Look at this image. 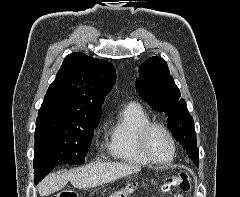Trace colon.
<instances>
[{
    "mask_svg": "<svg viewBox=\"0 0 240 197\" xmlns=\"http://www.w3.org/2000/svg\"><path fill=\"white\" fill-rule=\"evenodd\" d=\"M160 187L165 192H170L173 190L189 191L191 183L189 180V175L187 173H181L179 176H170L165 178ZM138 188L136 183H129L125 187L117 190L116 192L108 195L107 197H130ZM51 197H78L76 192L71 190L62 191L58 194H55Z\"/></svg>",
    "mask_w": 240,
    "mask_h": 197,
    "instance_id": "colon-1",
    "label": "colon"
}]
</instances>
